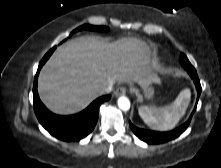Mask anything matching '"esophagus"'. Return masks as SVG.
I'll use <instances>...</instances> for the list:
<instances>
[{
	"instance_id": "esophagus-1",
	"label": "esophagus",
	"mask_w": 221,
	"mask_h": 168,
	"mask_svg": "<svg viewBox=\"0 0 221 168\" xmlns=\"http://www.w3.org/2000/svg\"><path fill=\"white\" fill-rule=\"evenodd\" d=\"M125 93H126V88L125 87H119L115 91V96L118 97V96L124 95Z\"/></svg>"
}]
</instances>
